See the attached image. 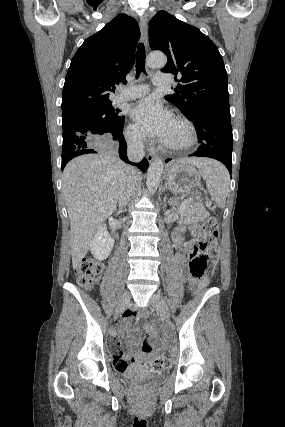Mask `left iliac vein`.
I'll return each instance as SVG.
<instances>
[{
  "mask_svg": "<svg viewBox=\"0 0 285 427\" xmlns=\"http://www.w3.org/2000/svg\"><path fill=\"white\" fill-rule=\"evenodd\" d=\"M150 302L161 316H163L167 321L170 320V311L168 305L160 295L153 294Z\"/></svg>",
  "mask_w": 285,
  "mask_h": 427,
  "instance_id": "4c4485c4",
  "label": "left iliac vein"
}]
</instances>
